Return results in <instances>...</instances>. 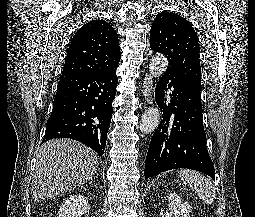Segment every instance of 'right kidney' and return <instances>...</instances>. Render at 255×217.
<instances>
[{"label": "right kidney", "instance_id": "obj_1", "mask_svg": "<svg viewBox=\"0 0 255 217\" xmlns=\"http://www.w3.org/2000/svg\"><path fill=\"white\" fill-rule=\"evenodd\" d=\"M88 208L87 197L82 194L71 195L61 205L57 217H82Z\"/></svg>", "mask_w": 255, "mask_h": 217}]
</instances>
